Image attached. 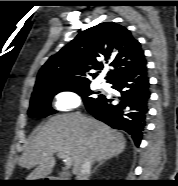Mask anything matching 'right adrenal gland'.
I'll return each mask as SVG.
<instances>
[{
	"mask_svg": "<svg viewBox=\"0 0 178 186\" xmlns=\"http://www.w3.org/2000/svg\"><path fill=\"white\" fill-rule=\"evenodd\" d=\"M110 158H107V159H104V160H101V161H99V163L95 166V168H94V170H93V173L95 172V170L99 167V166H101V165H103L107 160H109Z\"/></svg>",
	"mask_w": 178,
	"mask_h": 186,
	"instance_id": "obj_1",
	"label": "right adrenal gland"
}]
</instances>
